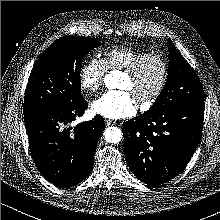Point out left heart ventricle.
I'll list each match as a JSON object with an SVG mask.
<instances>
[{"label": "left heart ventricle", "mask_w": 220, "mask_h": 220, "mask_svg": "<svg viewBox=\"0 0 220 220\" xmlns=\"http://www.w3.org/2000/svg\"><path fill=\"white\" fill-rule=\"evenodd\" d=\"M160 76V66L157 63H150L138 78L132 79L124 74L119 88L131 91L137 99L141 94L150 93L156 87Z\"/></svg>", "instance_id": "1"}]
</instances>
